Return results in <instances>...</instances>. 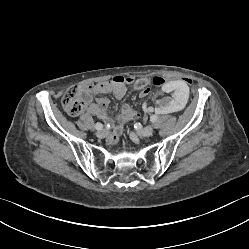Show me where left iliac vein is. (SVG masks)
Returning a JSON list of instances; mask_svg holds the SVG:
<instances>
[{
    "instance_id": "1",
    "label": "left iliac vein",
    "mask_w": 249,
    "mask_h": 249,
    "mask_svg": "<svg viewBox=\"0 0 249 249\" xmlns=\"http://www.w3.org/2000/svg\"><path fill=\"white\" fill-rule=\"evenodd\" d=\"M153 134V126L149 125V126H146L144 127L143 129H141L139 132H138V135L140 137H149Z\"/></svg>"
}]
</instances>
